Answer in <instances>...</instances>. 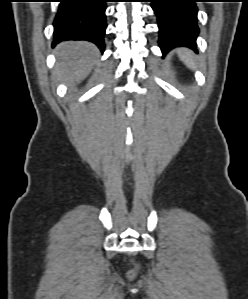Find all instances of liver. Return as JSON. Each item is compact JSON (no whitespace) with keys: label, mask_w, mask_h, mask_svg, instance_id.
Wrapping results in <instances>:
<instances>
[{"label":"liver","mask_w":248,"mask_h":299,"mask_svg":"<svg viewBox=\"0 0 248 299\" xmlns=\"http://www.w3.org/2000/svg\"><path fill=\"white\" fill-rule=\"evenodd\" d=\"M57 63L55 75L69 83L82 81L91 71L97 57V47L85 41H67L55 50Z\"/></svg>","instance_id":"obj_1"}]
</instances>
